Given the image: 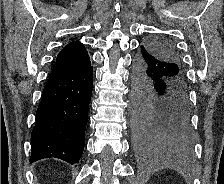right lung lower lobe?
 <instances>
[{
  "mask_svg": "<svg viewBox=\"0 0 224 184\" xmlns=\"http://www.w3.org/2000/svg\"><path fill=\"white\" fill-rule=\"evenodd\" d=\"M92 86L90 61L80 69L50 74L31 133V163L51 157L70 164L79 162Z\"/></svg>",
  "mask_w": 224,
  "mask_h": 184,
  "instance_id": "1",
  "label": "right lung lower lobe"
}]
</instances>
